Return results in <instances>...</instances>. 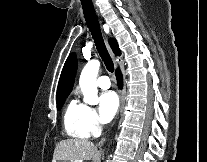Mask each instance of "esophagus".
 Here are the masks:
<instances>
[{"label":"esophagus","instance_id":"1","mask_svg":"<svg viewBox=\"0 0 207 162\" xmlns=\"http://www.w3.org/2000/svg\"><path fill=\"white\" fill-rule=\"evenodd\" d=\"M106 46H107V49H108L109 53L113 56L112 51H111L109 45L106 44ZM122 106H123V95L121 94V104H120V109H119V111H118V113H117V116L119 115V112H120Z\"/></svg>","mask_w":207,"mask_h":162}]
</instances>
